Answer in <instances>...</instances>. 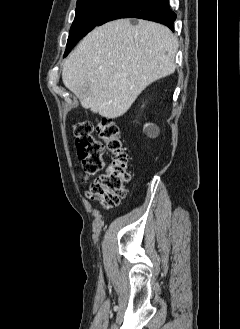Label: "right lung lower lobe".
I'll return each mask as SVG.
<instances>
[{"label":"right lung lower lobe","mask_w":240,"mask_h":329,"mask_svg":"<svg viewBox=\"0 0 240 329\" xmlns=\"http://www.w3.org/2000/svg\"><path fill=\"white\" fill-rule=\"evenodd\" d=\"M119 18H139L159 22L172 31L176 15L168 0H120L96 26Z\"/></svg>","instance_id":"obj_1"}]
</instances>
